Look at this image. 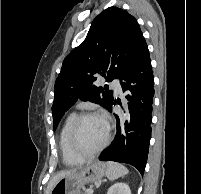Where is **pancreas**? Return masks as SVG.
Wrapping results in <instances>:
<instances>
[{
  "label": "pancreas",
  "mask_w": 201,
  "mask_h": 194,
  "mask_svg": "<svg viewBox=\"0 0 201 194\" xmlns=\"http://www.w3.org/2000/svg\"><path fill=\"white\" fill-rule=\"evenodd\" d=\"M78 194H88L87 190L79 191Z\"/></svg>",
  "instance_id": "obj_1"
}]
</instances>
